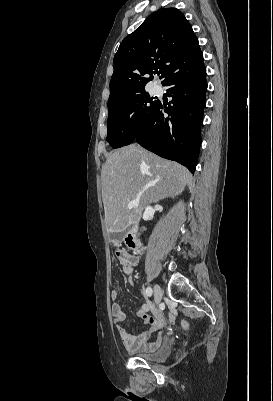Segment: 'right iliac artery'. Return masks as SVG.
I'll use <instances>...</instances> for the list:
<instances>
[{
	"label": "right iliac artery",
	"mask_w": 273,
	"mask_h": 401,
	"mask_svg": "<svg viewBox=\"0 0 273 401\" xmlns=\"http://www.w3.org/2000/svg\"><path fill=\"white\" fill-rule=\"evenodd\" d=\"M152 288L151 287H148L147 289H146V291H145V293H146V295L147 296H149V297H151L152 296Z\"/></svg>",
	"instance_id": "82829eb1"
}]
</instances>
